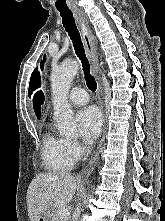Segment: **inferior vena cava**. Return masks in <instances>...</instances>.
I'll list each match as a JSON object with an SVG mask.
<instances>
[{
  "label": "inferior vena cava",
  "instance_id": "1",
  "mask_svg": "<svg viewBox=\"0 0 165 221\" xmlns=\"http://www.w3.org/2000/svg\"><path fill=\"white\" fill-rule=\"evenodd\" d=\"M79 215H80V210H79V208H76L75 213H74V220L73 221H77Z\"/></svg>",
  "mask_w": 165,
  "mask_h": 221
}]
</instances>
